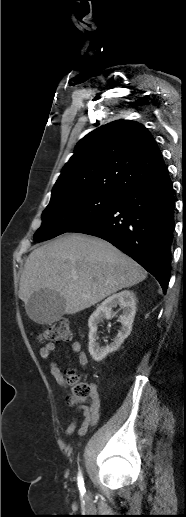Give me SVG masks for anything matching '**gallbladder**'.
I'll return each instance as SVG.
<instances>
[{
    "instance_id": "obj_1",
    "label": "gallbladder",
    "mask_w": 186,
    "mask_h": 517,
    "mask_svg": "<svg viewBox=\"0 0 186 517\" xmlns=\"http://www.w3.org/2000/svg\"><path fill=\"white\" fill-rule=\"evenodd\" d=\"M25 309L33 321L51 324L64 315L65 300L53 290H39L31 295Z\"/></svg>"
}]
</instances>
